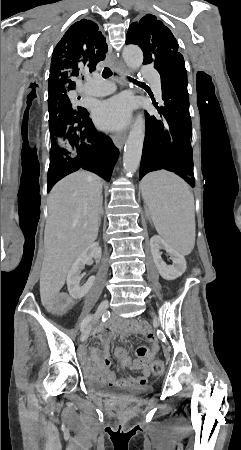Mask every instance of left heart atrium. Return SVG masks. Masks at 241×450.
Listing matches in <instances>:
<instances>
[{"label":"left heart atrium","mask_w":241,"mask_h":450,"mask_svg":"<svg viewBox=\"0 0 241 450\" xmlns=\"http://www.w3.org/2000/svg\"><path fill=\"white\" fill-rule=\"evenodd\" d=\"M133 106V101L128 96H114L98 104L94 120L102 129H121L129 122Z\"/></svg>","instance_id":"39dd6f15"}]
</instances>
